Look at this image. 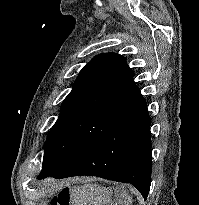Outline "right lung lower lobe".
Instances as JSON below:
<instances>
[{
  "label": "right lung lower lobe",
  "mask_w": 199,
  "mask_h": 205,
  "mask_svg": "<svg viewBox=\"0 0 199 205\" xmlns=\"http://www.w3.org/2000/svg\"><path fill=\"white\" fill-rule=\"evenodd\" d=\"M144 102L143 108L123 120L100 142L89 147L71 161L46 177L66 178L79 175L97 176L130 183L147 199L151 185V119L146 101L138 87L129 86Z\"/></svg>",
  "instance_id": "right-lung-lower-lobe-1"
}]
</instances>
